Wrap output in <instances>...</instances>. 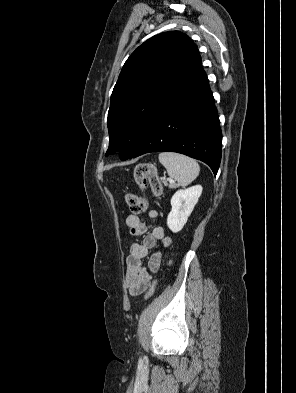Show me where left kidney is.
I'll list each match as a JSON object with an SVG mask.
<instances>
[{
  "label": "left kidney",
  "mask_w": 296,
  "mask_h": 393,
  "mask_svg": "<svg viewBox=\"0 0 296 393\" xmlns=\"http://www.w3.org/2000/svg\"><path fill=\"white\" fill-rule=\"evenodd\" d=\"M201 194L202 186L195 185L186 189H179L172 196V209L167 217V225L173 233L182 230Z\"/></svg>",
  "instance_id": "obj_1"
}]
</instances>
